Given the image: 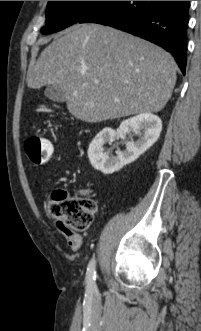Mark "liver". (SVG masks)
I'll return each mask as SVG.
<instances>
[{
	"label": "liver",
	"instance_id": "1",
	"mask_svg": "<svg viewBox=\"0 0 201 331\" xmlns=\"http://www.w3.org/2000/svg\"><path fill=\"white\" fill-rule=\"evenodd\" d=\"M175 82V61L168 52L99 24L66 29L27 74L29 88L60 86L69 112L90 123L157 113Z\"/></svg>",
	"mask_w": 201,
	"mask_h": 331
}]
</instances>
